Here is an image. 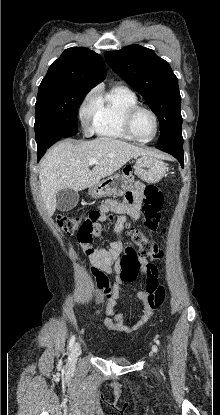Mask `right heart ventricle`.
<instances>
[{"mask_svg":"<svg viewBox=\"0 0 220 415\" xmlns=\"http://www.w3.org/2000/svg\"><path fill=\"white\" fill-rule=\"evenodd\" d=\"M138 104L134 92L125 87H113L94 97L93 130L101 137L130 141L124 127L126 111Z\"/></svg>","mask_w":220,"mask_h":415,"instance_id":"right-heart-ventricle-1","label":"right heart ventricle"}]
</instances>
